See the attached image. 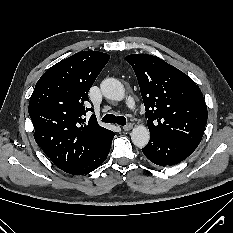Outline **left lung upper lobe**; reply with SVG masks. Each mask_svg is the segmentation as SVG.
I'll use <instances>...</instances> for the list:
<instances>
[{"label":"left lung upper lobe","mask_w":233,"mask_h":233,"mask_svg":"<svg viewBox=\"0 0 233 233\" xmlns=\"http://www.w3.org/2000/svg\"><path fill=\"white\" fill-rule=\"evenodd\" d=\"M145 105L150 135L197 148L207 122V107L200 88L182 71L146 54L126 56Z\"/></svg>","instance_id":"5c2ea615"}]
</instances>
